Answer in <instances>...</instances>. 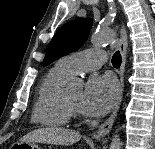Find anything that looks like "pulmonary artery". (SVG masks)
Listing matches in <instances>:
<instances>
[{"label":"pulmonary artery","instance_id":"1","mask_svg":"<svg viewBox=\"0 0 155 149\" xmlns=\"http://www.w3.org/2000/svg\"><path fill=\"white\" fill-rule=\"evenodd\" d=\"M107 59L103 50L87 49L61 58L58 66L70 77L79 73L98 69Z\"/></svg>","mask_w":155,"mask_h":149}]
</instances>
